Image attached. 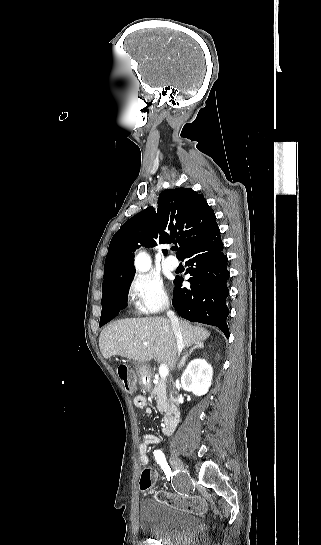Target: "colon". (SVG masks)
Instances as JSON below:
<instances>
[{"mask_svg":"<svg viewBox=\"0 0 321 545\" xmlns=\"http://www.w3.org/2000/svg\"><path fill=\"white\" fill-rule=\"evenodd\" d=\"M118 376L128 391H133L135 389L134 376L126 366L118 367ZM139 484L142 492H154L161 501L168 505L195 513H204L206 510L204 500L198 496L156 491L154 489V475L150 469H144L142 471Z\"/></svg>","mask_w":321,"mask_h":545,"instance_id":"5ec220e1","label":"colon"}]
</instances>
